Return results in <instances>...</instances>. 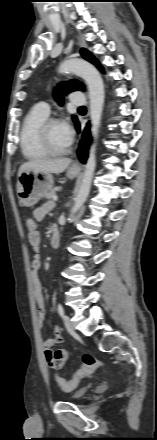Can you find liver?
Returning <instances> with one entry per match:
<instances>
[{"label": "liver", "mask_w": 157, "mask_h": 440, "mask_svg": "<svg viewBox=\"0 0 157 440\" xmlns=\"http://www.w3.org/2000/svg\"><path fill=\"white\" fill-rule=\"evenodd\" d=\"M71 163L69 158L59 159H33L21 165L18 176L23 172L40 171L48 173H62Z\"/></svg>", "instance_id": "liver-1"}]
</instances>
